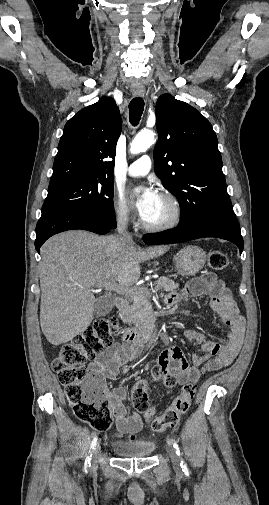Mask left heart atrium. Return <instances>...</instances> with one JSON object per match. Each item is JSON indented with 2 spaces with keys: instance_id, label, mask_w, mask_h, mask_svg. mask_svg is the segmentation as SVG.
I'll return each mask as SVG.
<instances>
[{
  "instance_id": "obj_1",
  "label": "left heart atrium",
  "mask_w": 269,
  "mask_h": 505,
  "mask_svg": "<svg viewBox=\"0 0 269 505\" xmlns=\"http://www.w3.org/2000/svg\"><path fill=\"white\" fill-rule=\"evenodd\" d=\"M159 196L160 194L153 186H145L142 188L135 206L137 212L143 220L149 216Z\"/></svg>"
}]
</instances>
